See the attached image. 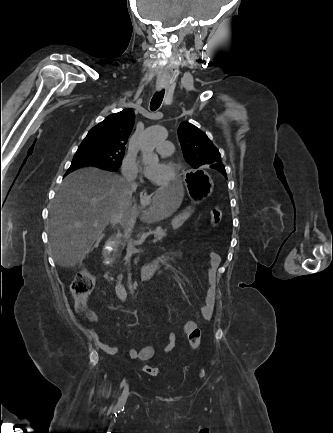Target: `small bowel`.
I'll list each match as a JSON object with an SVG mask.
<instances>
[{
    "instance_id": "obj_1",
    "label": "small bowel",
    "mask_w": 333,
    "mask_h": 433,
    "mask_svg": "<svg viewBox=\"0 0 333 433\" xmlns=\"http://www.w3.org/2000/svg\"><path fill=\"white\" fill-rule=\"evenodd\" d=\"M174 258L181 259L183 257V252L181 250H176L172 253ZM221 262V257L216 252L209 253V261H208V272L210 275L216 273ZM215 306V292L214 289L209 286L207 288L204 301L199 308V313L201 317L205 320H208L212 317ZM195 328H198L197 324L193 321H188L184 324L182 328V335L189 336L191 331ZM89 336L93 341L94 345L108 355H114L118 352V347L115 345H108L100 341L97 332L94 329L89 331ZM177 340V334L175 332H170L167 336L166 344L163 348L164 352H170L175 347ZM132 359H139L141 361L150 360L155 354V348L152 344L145 345L141 349H131L129 352Z\"/></svg>"
}]
</instances>
